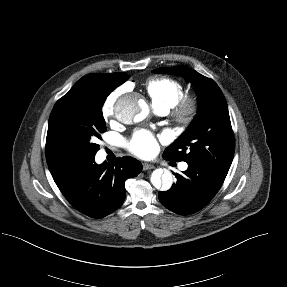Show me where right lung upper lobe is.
Wrapping results in <instances>:
<instances>
[{
    "label": "right lung upper lobe",
    "mask_w": 287,
    "mask_h": 287,
    "mask_svg": "<svg viewBox=\"0 0 287 287\" xmlns=\"http://www.w3.org/2000/svg\"><path fill=\"white\" fill-rule=\"evenodd\" d=\"M127 79L126 73H110V74H88L82 77L72 88H77L87 84L97 83L108 87L112 91ZM48 168L55 183L62 180V178L69 173L73 167H69L54 161L49 156H46Z\"/></svg>",
    "instance_id": "1"
}]
</instances>
